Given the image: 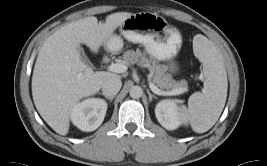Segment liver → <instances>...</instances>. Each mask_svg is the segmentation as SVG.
Here are the masks:
<instances>
[{"label":"liver","mask_w":267,"mask_h":166,"mask_svg":"<svg viewBox=\"0 0 267 166\" xmlns=\"http://www.w3.org/2000/svg\"><path fill=\"white\" fill-rule=\"evenodd\" d=\"M132 13L117 12L98 23L94 16L67 24L42 45L32 76V96L44 121L58 134L66 135L70 128L73 107L82 98L96 94L103 82L118 75L94 72L80 57L78 48L85 44L93 53L106 44L113 32Z\"/></svg>","instance_id":"6515ba94"}]
</instances>
